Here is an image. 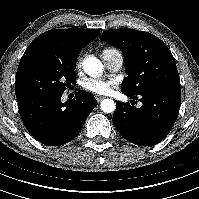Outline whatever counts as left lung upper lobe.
I'll list each match as a JSON object with an SVG mask.
<instances>
[{"label": "left lung upper lobe", "mask_w": 199, "mask_h": 199, "mask_svg": "<svg viewBox=\"0 0 199 199\" xmlns=\"http://www.w3.org/2000/svg\"><path fill=\"white\" fill-rule=\"evenodd\" d=\"M101 40L123 52L128 76L122 83V92L139 95L154 89H181L175 59L155 35L120 28L103 32Z\"/></svg>", "instance_id": "1"}]
</instances>
